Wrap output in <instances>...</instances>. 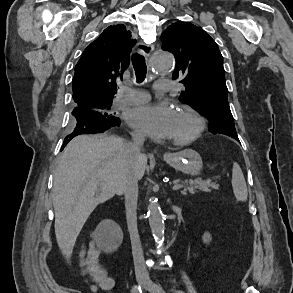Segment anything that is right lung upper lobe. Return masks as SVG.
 Instances as JSON below:
<instances>
[{
    "label": "right lung upper lobe",
    "mask_w": 293,
    "mask_h": 293,
    "mask_svg": "<svg viewBox=\"0 0 293 293\" xmlns=\"http://www.w3.org/2000/svg\"><path fill=\"white\" fill-rule=\"evenodd\" d=\"M135 43L131 32L124 25L117 24L107 27L84 50L72 81L75 108L96 110V101H112Z\"/></svg>",
    "instance_id": "obj_1"
}]
</instances>
